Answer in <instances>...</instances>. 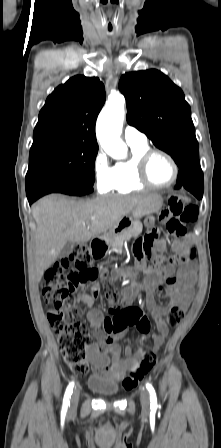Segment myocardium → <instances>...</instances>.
I'll return each mask as SVG.
<instances>
[{"instance_id": "1", "label": "myocardium", "mask_w": 221, "mask_h": 448, "mask_svg": "<svg viewBox=\"0 0 221 448\" xmlns=\"http://www.w3.org/2000/svg\"><path fill=\"white\" fill-rule=\"evenodd\" d=\"M155 155H162L165 158L168 159V161L171 163L173 169H174V176L173 178L166 184H156L152 181V179L149 176V164L151 159ZM137 177L138 180L144 184L145 186L155 188V189H165L168 187H171L178 179L180 174V168L177 163V161L174 159L172 155H170L168 152L160 149H148L145 151L137 160Z\"/></svg>"}]
</instances>
